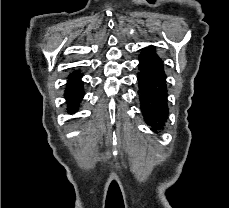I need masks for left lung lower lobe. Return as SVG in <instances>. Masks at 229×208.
Segmentation results:
<instances>
[{
  "label": "left lung lower lobe",
  "instance_id": "0a47b994",
  "mask_svg": "<svg viewBox=\"0 0 229 208\" xmlns=\"http://www.w3.org/2000/svg\"><path fill=\"white\" fill-rule=\"evenodd\" d=\"M139 70V100L144 120L154 131L163 129L168 116L166 81L146 61L140 60Z\"/></svg>",
  "mask_w": 229,
  "mask_h": 208
}]
</instances>
